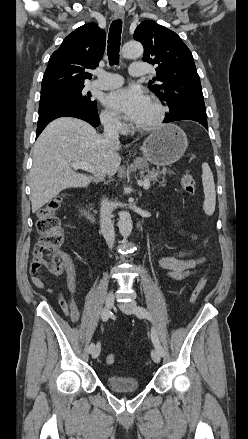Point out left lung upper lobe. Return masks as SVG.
Segmentation results:
<instances>
[{
  "label": "left lung upper lobe",
  "instance_id": "obj_1",
  "mask_svg": "<svg viewBox=\"0 0 248 439\" xmlns=\"http://www.w3.org/2000/svg\"><path fill=\"white\" fill-rule=\"evenodd\" d=\"M134 39L144 46L143 61L157 66L148 88L167 103L168 115L189 109L206 112L192 53L181 38L154 21H143Z\"/></svg>",
  "mask_w": 248,
  "mask_h": 439
}]
</instances>
